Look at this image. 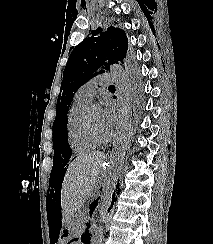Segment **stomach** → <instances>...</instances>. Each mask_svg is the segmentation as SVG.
<instances>
[{
  "label": "stomach",
  "instance_id": "stomach-1",
  "mask_svg": "<svg viewBox=\"0 0 213 244\" xmlns=\"http://www.w3.org/2000/svg\"><path fill=\"white\" fill-rule=\"evenodd\" d=\"M63 228V239H58V244H69V239H74V234H76V232L79 230L75 218H70L69 221L63 223Z\"/></svg>",
  "mask_w": 213,
  "mask_h": 244
}]
</instances>
